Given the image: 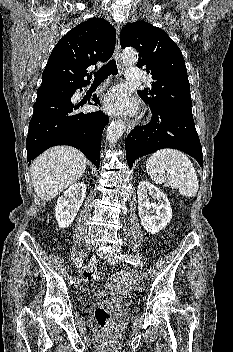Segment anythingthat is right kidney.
Masks as SVG:
<instances>
[{
	"instance_id": "1",
	"label": "right kidney",
	"mask_w": 233,
	"mask_h": 352,
	"mask_svg": "<svg viewBox=\"0 0 233 352\" xmlns=\"http://www.w3.org/2000/svg\"><path fill=\"white\" fill-rule=\"evenodd\" d=\"M85 197L86 185L83 182H78L71 185L58 198L55 217L60 228H66L73 222Z\"/></svg>"
}]
</instances>
